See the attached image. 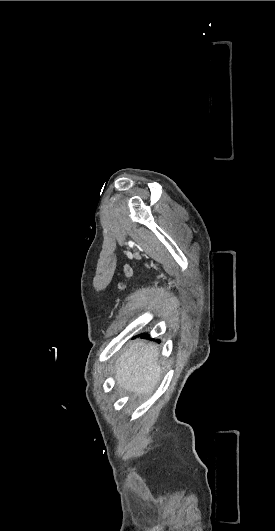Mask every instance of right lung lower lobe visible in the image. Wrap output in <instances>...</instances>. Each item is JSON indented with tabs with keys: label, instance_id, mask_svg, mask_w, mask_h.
<instances>
[{
	"label": "right lung lower lobe",
	"instance_id": "right-lung-lower-lobe-1",
	"mask_svg": "<svg viewBox=\"0 0 275 531\" xmlns=\"http://www.w3.org/2000/svg\"><path fill=\"white\" fill-rule=\"evenodd\" d=\"M141 336H142V337H147L148 335H147V334H142Z\"/></svg>",
	"mask_w": 275,
	"mask_h": 531
}]
</instances>
